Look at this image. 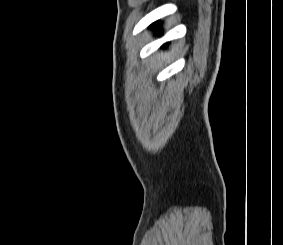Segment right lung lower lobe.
I'll return each instance as SVG.
<instances>
[{"label": "right lung lower lobe", "mask_w": 283, "mask_h": 245, "mask_svg": "<svg viewBox=\"0 0 283 245\" xmlns=\"http://www.w3.org/2000/svg\"><path fill=\"white\" fill-rule=\"evenodd\" d=\"M152 26L154 27V29H155L158 33H160V27H159V24H158V23H154Z\"/></svg>", "instance_id": "98d812e1"}]
</instances>
